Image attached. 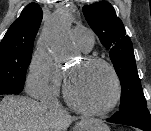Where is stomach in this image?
<instances>
[{
    "label": "stomach",
    "mask_w": 151,
    "mask_h": 131,
    "mask_svg": "<svg viewBox=\"0 0 151 131\" xmlns=\"http://www.w3.org/2000/svg\"><path fill=\"white\" fill-rule=\"evenodd\" d=\"M74 131H110V129L100 120L86 119L76 124Z\"/></svg>",
    "instance_id": "obj_1"
}]
</instances>
